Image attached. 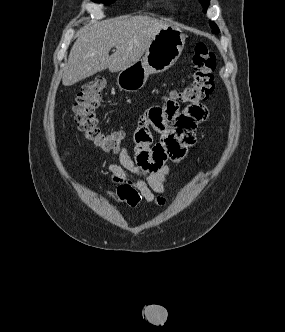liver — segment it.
<instances>
[{"label": "liver", "instance_id": "liver-1", "mask_svg": "<svg viewBox=\"0 0 285 332\" xmlns=\"http://www.w3.org/2000/svg\"><path fill=\"white\" fill-rule=\"evenodd\" d=\"M172 25L149 16L117 17L85 26L73 44L62 76L71 86L97 72L124 70L138 62L156 34ZM116 52L109 56L111 48Z\"/></svg>", "mask_w": 285, "mask_h": 332}]
</instances>
